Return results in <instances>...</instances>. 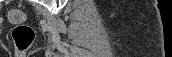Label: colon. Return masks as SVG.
Returning a JSON list of instances; mask_svg holds the SVG:
<instances>
[{
	"label": "colon",
	"instance_id": "5ec220e1",
	"mask_svg": "<svg viewBox=\"0 0 172 57\" xmlns=\"http://www.w3.org/2000/svg\"><path fill=\"white\" fill-rule=\"evenodd\" d=\"M8 19L15 24L12 30V38L16 48V57H25L26 52L35 39V31L30 25L23 24L25 18L23 12L19 10H9Z\"/></svg>",
	"mask_w": 172,
	"mask_h": 57
}]
</instances>
